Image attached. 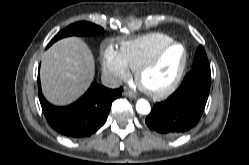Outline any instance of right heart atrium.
<instances>
[{"instance_id": "1", "label": "right heart atrium", "mask_w": 249, "mask_h": 165, "mask_svg": "<svg viewBox=\"0 0 249 165\" xmlns=\"http://www.w3.org/2000/svg\"><path fill=\"white\" fill-rule=\"evenodd\" d=\"M103 72L111 77L113 81L126 80L130 77V69L123 60L119 51L107 47L103 52Z\"/></svg>"}]
</instances>
